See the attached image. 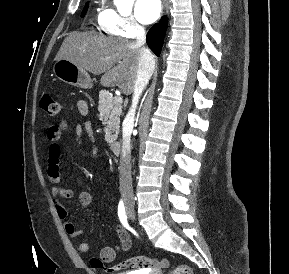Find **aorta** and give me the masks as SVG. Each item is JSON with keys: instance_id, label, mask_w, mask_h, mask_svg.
Listing matches in <instances>:
<instances>
[{"instance_id": "obj_1", "label": "aorta", "mask_w": 289, "mask_h": 274, "mask_svg": "<svg viewBox=\"0 0 289 274\" xmlns=\"http://www.w3.org/2000/svg\"><path fill=\"white\" fill-rule=\"evenodd\" d=\"M133 0H114V4L119 7V8H123V7H131Z\"/></svg>"}]
</instances>
